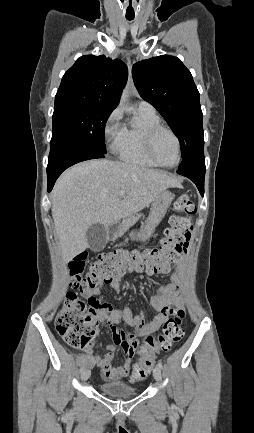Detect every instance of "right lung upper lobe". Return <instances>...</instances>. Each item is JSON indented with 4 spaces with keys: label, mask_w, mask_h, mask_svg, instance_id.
<instances>
[{
    "label": "right lung upper lobe",
    "mask_w": 254,
    "mask_h": 433,
    "mask_svg": "<svg viewBox=\"0 0 254 433\" xmlns=\"http://www.w3.org/2000/svg\"><path fill=\"white\" fill-rule=\"evenodd\" d=\"M127 77V66L121 60H112L104 55L82 56L64 74L55 105L94 103L114 110Z\"/></svg>",
    "instance_id": "cb5924a9"
}]
</instances>
